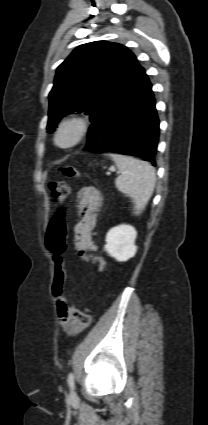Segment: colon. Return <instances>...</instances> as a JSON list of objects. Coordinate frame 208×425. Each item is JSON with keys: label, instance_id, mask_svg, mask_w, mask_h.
<instances>
[{"label": "colon", "instance_id": "colon-1", "mask_svg": "<svg viewBox=\"0 0 208 425\" xmlns=\"http://www.w3.org/2000/svg\"><path fill=\"white\" fill-rule=\"evenodd\" d=\"M66 178L75 179L79 177V171L77 168L71 165L63 166L59 169ZM49 188L52 196L56 200H63L69 193V186L63 180H54L49 183ZM46 245L48 249L54 254L55 271L51 284V291L55 298L65 297L64 295V280H65V269L62 262L61 255L66 252V224H65V209L60 206L57 209L56 214L52 218L47 235ZM78 256L92 263L99 271H103L106 267L105 260L102 257L90 255L83 248H77ZM66 298V297H65ZM69 313L73 320L81 327L85 328L90 325L92 321L91 314L80 311L74 306L69 304Z\"/></svg>", "mask_w": 208, "mask_h": 425}]
</instances>
